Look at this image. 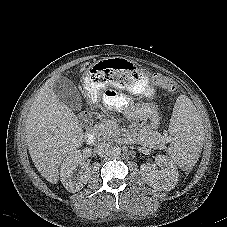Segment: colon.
Segmentation results:
<instances>
[{
  "mask_svg": "<svg viewBox=\"0 0 227 227\" xmlns=\"http://www.w3.org/2000/svg\"><path fill=\"white\" fill-rule=\"evenodd\" d=\"M154 80H155L156 83L163 85L164 87H166L170 91H174L176 89V84L168 78H165V77H162L158 74H155Z\"/></svg>",
  "mask_w": 227,
  "mask_h": 227,
  "instance_id": "1",
  "label": "colon"
}]
</instances>
